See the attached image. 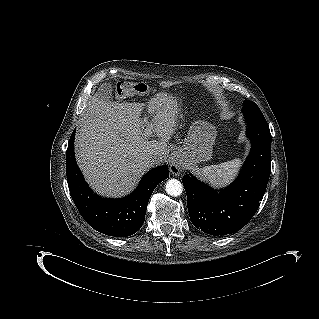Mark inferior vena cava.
<instances>
[{"label":"inferior vena cava","instance_id":"inferior-vena-cava-1","mask_svg":"<svg viewBox=\"0 0 319 319\" xmlns=\"http://www.w3.org/2000/svg\"><path fill=\"white\" fill-rule=\"evenodd\" d=\"M163 161V157L162 155H152L149 157L148 162L154 166V165H158L160 163H162Z\"/></svg>","mask_w":319,"mask_h":319}]
</instances>
